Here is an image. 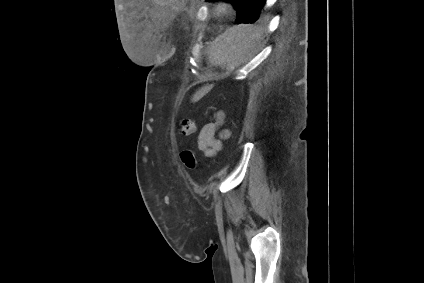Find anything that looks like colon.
I'll list each match as a JSON object with an SVG mask.
<instances>
[{
  "label": "colon",
  "mask_w": 424,
  "mask_h": 283,
  "mask_svg": "<svg viewBox=\"0 0 424 283\" xmlns=\"http://www.w3.org/2000/svg\"><path fill=\"white\" fill-rule=\"evenodd\" d=\"M180 134L184 136H190L194 134L197 130V124L193 119L185 118L180 121ZM181 161L183 164L189 168L194 169L196 168L197 162L195 155L190 150H184L180 154Z\"/></svg>",
  "instance_id": "5ec220e1"
}]
</instances>
